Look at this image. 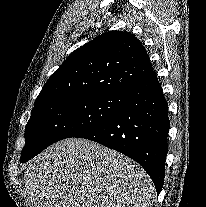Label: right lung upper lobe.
<instances>
[{
  "instance_id": "obj_1",
  "label": "right lung upper lobe",
  "mask_w": 206,
  "mask_h": 207,
  "mask_svg": "<svg viewBox=\"0 0 206 207\" xmlns=\"http://www.w3.org/2000/svg\"><path fill=\"white\" fill-rule=\"evenodd\" d=\"M152 73L150 58L133 34L106 32L64 61L43 86L35 105L64 96L125 94Z\"/></svg>"
}]
</instances>
